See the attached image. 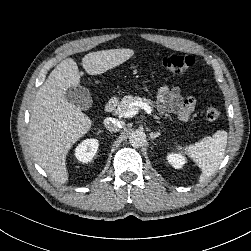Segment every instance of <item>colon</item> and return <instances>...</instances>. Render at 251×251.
<instances>
[{
  "label": "colon",
  "instance_id": "obj_1",
  "mask_svg": "<svg viewBox=\"0 0 251 251\" xmlns=\"http://www.w3.org/2000/svg\"><path fill=\"white\" fill-rule=\"evenodd\" d=\"M161 65L171 73L182 74L194 65V59L188 55H169L162 58ZM220 115V109L216 104L209 103L206 105L205 117L207 120L215 121Z\"/></svg>",
  "mask_w": 251,
  "mask_h": 251
}]
</instances>
